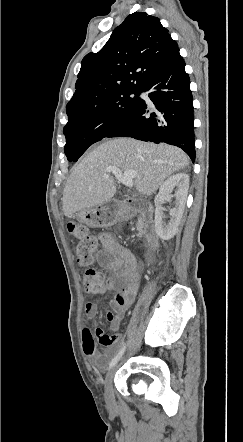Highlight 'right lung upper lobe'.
<instances>
[{"instance_id": "cb5924a9", "label": "right lung upper lobe", "mask_w": 243, "mask_h": 442, "mask_svg": "<svg viewBox=\"0 0 243 442\" xmlns=\"http://www.w3.org/2000/svg\"><path fill=\"white\" fill-rule=\"evenodd\" d=\"M179 48L159 18L134 12L115 28L104 47L87 54L66 106L68 117L124 92L140 91Z\"/></svg>"}]
</instances>
